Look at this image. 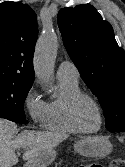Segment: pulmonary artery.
<instances>
[{"label":"pulmonary artery","instance_id":"obj_1","mask_svg":"<svg viewBox=\"0 0 125 167\" xmlns=\"http://www.w3.org/2000/svg\"><path fill=\"white\" fill-rule=\"evenodd\" d=\"M57 78L78 81L79 71L73 62L62 61L57 69Z\"/></svg>","mask_w":125,"mask_h":167}]
</instances>
